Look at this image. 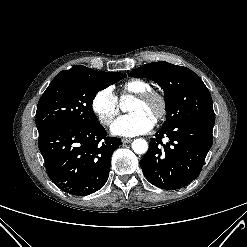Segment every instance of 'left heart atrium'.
Here are the masks:
<instances>
[{"label": "left heart atrium", "mask_w": 247, "mask_h": 247, "mask_svg": "<svg viewBox=\"0 0 247 247\" xmlns=\"http://www.w3.org/2000/svg\"><path fill=\"white\" fill-rule=\"evenodd\" d=\"M154 124V117L143 111H136L115 120L111 131L115 135L133 137L150 131Z\"/></svg>", "instance_id": "39dd6f15"}]
</instances>
